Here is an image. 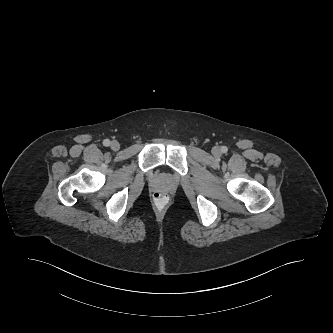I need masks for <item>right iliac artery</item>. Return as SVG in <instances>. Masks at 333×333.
<instances>
[{"label":"right iliac artery","instance_id":"1","mask_svg":"<svg viewBox=\"0 0 333 333\" xmlns=\"http://www.w3.org/2000/svg\"><path fill=\"white\" fill-rule=\"evenodd\" d=\"M103 145H104V146H109V145H110V140H109V139H105V140L103 141Z\"/></svg>","mask_w":333,"mask_h":333}]
</instances>
